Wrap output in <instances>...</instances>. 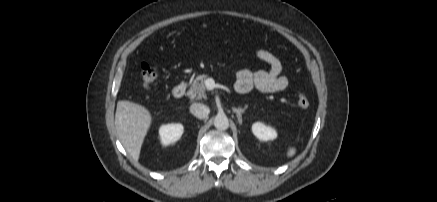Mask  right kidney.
I'll return each instance as SVG.
<instances>
[{"mask_svg": "<svg viewBox=\"0 0 437 202\" xmlns=\"http://www.w3.org/2000/svg\"><path fill=\"white\" fill-rule=\"evenodd\" d=\"M184 127L182 124H166L159 129V136L163 145H169L180 139L183 134Z\"/></svg>", "mask_w": 437, "mask_h": 202, "instance_id": "obj_1", "label": "right kidney"}]
</instances>
